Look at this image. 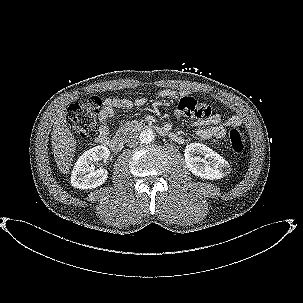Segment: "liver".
Here are the masks:
<instances>
[{"instance_id": "obj_1", "label": "liver", "mask_w": 303, "mask_h": 303, "mask_svg": "<svg viewBox=\"0 0 303 303\" xmlns=\"http://www.w3.org/2000/svg\"><path fill=\"white\" fill-rule=\"evenodd\" d=\"M66 107L60 106L52 130V151L60 172L67 174L72 165L76 140L67 126Z\"/></svg>"}]
</instances>
